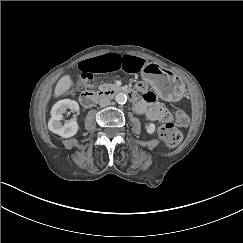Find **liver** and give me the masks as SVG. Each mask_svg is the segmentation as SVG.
Segmentation results:
<instances>
[{
	"label": "liver",
	"instance_id": "6515ba94",
	"mask_svg": "<svg viewBox=\"0 0 243 243\" xmlns=\"http://www.w3.org/2000/svg\"><path fill=\"white\" fill-rule=\"evenodd\" d=\"M73 85V82L71 80V77L69 75L62 76L58 83L56 84L55 90H54V96L59 97L66 93L71 86Z\"/></svg>",
	"mask_w": 243,
	"mask_h": 243
}]
</instances>
